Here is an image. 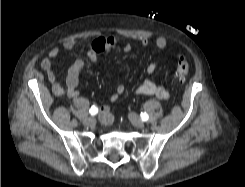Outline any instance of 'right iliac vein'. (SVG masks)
Masks as SVG:
<instances>
[{
    "mask_svg": "<svg viewBox=\"0 0 245 187\" xmlns=\"http://www.w3.org/2000/svg\"><path fill=\"white\" fill-rule=\"evenodd\" d=\"M83 123L87 126H92L95 123V119L93 117L86 118Z\"/></svg>",
    "mask_w": 245,
    "mask_h": 187,
    "instance_id": "obj_1",
    "label": "right iliac vein"
}]
</instances>
